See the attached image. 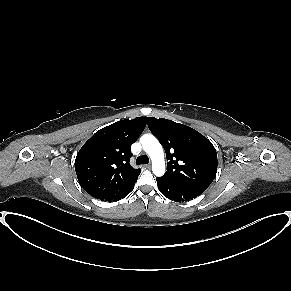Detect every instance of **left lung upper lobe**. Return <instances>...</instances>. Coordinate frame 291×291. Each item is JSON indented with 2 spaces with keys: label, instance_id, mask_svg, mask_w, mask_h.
Listing matches in <instances>:
<instances>
[{
  "label": "left lung upper lobe",
  "instance_id": "1",
  "mask_svg": "<svg viewBox=\"0 0 291 291\" xmlns=\"http://www.w3.org/2000/svg\"><path fill=\"white\" fill-rule=\"evenodd\" d=\"M148 127L165 148L163 178L183 187L205 191L217 173V153L198 131L168 119L148 117Z\"/></svg>",
  "mask_w": 291,
  "mask_h": 291
}]
</instances>
